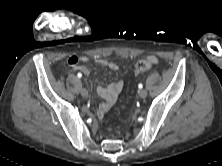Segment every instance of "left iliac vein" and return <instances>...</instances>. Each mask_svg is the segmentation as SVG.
Wrapping results in <instances>:
<instances>
[{
    "mask_svg": "<svg viewBox=\"0 0 222 166\" xmlns=\"http://www.w3.org/2000/svg\"><path fill=\"white\" fill-rule=\"evenodd\" d=\"M138 94L141 98H145L147 96V91L145 89H140Z\"/></svg>",
    "mask_w": 222,
    "mask_h": 166,
    "instance_id": "left-iliac-vein-1",
    "label": "left iliac vein"
}]
</instances>
